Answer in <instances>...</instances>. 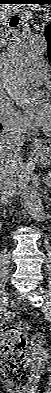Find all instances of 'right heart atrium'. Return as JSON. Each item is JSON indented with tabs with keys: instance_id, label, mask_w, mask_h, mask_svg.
<instances>
[{
	"instance_id": "d8ad5b80",
	"label": "right heart atrium",
	"mask_w": 51,
	"mask_h": 393,
	"mask_svg": "<svg viewBox=\"0 0 51 393\" xmlns=\"http://www.w3.org/2000/svg\"><path fill=\"white\" fill-rule=\"evenodd\" d=\"M0 117L3 127L15 134H26L31 130L27 123L7 102L0 105Z\"/></svg>"
}]
</instances>
